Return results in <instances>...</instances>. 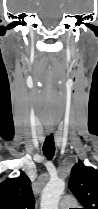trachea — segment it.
<instances>
[{"label": "trachea", "mask_w": 98, "mask_h": 209, "mask_svg": "<svg viewBox=\"0 0 98 209\" xmlns=\"http://www.w3.org/2000/svg\"><path fill=\"white\" fill-rule=\"evenodd\" d=\"M43 154L47 159H52L55 154V144L53 134L46 137L43 145Z\"/></svg>", "instance_id": "3493384b"}]
</instances>
